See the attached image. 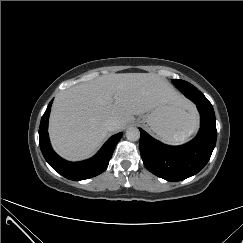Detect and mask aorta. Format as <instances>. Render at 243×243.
Masks as SVG:
<instances>
[{"label": "aorta", "instance_id": "obj_1", "mask_svg": "<svg viewBox=\"0 0 243 243\" xmlns=\"http://www.w3.org/2000/svg\"><path fill=\"white\" fill-rule=\"evenodd\" d=\"M126 138L129 140V141H138L139 138H140V131L138 128L136 127H130L127 129L126 131Z\"/></svg>", "mask_w": 243, "mask_h": 243}]
</instances>
